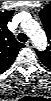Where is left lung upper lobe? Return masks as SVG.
Instances as JSON below:
<instances>
[{
  "instance_id": "obj_1",
  "label": "left lung upper lobe",
  "mask_w": 51,
  "mask_h": 101,
  "mask_svg": "<svg viewBox=\"0 0 51 101\" xmlns=\"http://www.w3.org/2000/svg\"><path fill=\"white\" fill-rule=\"evenodd\" d=\"M40 19L43 23L44 30L46 31L48 39H51V5L46 8L41 9L39 13ZM50 46L45 51H37L41 62L47 67H51V42L49 41Z\"/></svg>"
}]
</instances>
